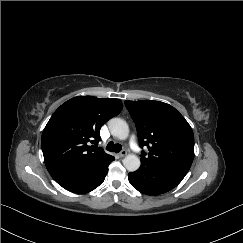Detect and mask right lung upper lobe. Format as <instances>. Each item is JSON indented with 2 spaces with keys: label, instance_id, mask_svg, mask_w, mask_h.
<instances>
[{
  "label": "right lung upper lobe",
  "instance_id": "cb5924a9",
  "mask_svg": "<svg viewBox=\"0 0 243 243\" xmlns=\"http://www.w3.org/2000/svg\"><path fill=\"white\" fill-rule=\"evenodd\" d=\"M121 109L119 99L77 96L54 112L42 133L43 156L53 179L80 172L108 156L90 143L101 140V126Z\"/></svg>",
  "mask_w": 243,
  "mask_h": 243
}]
</instances>
